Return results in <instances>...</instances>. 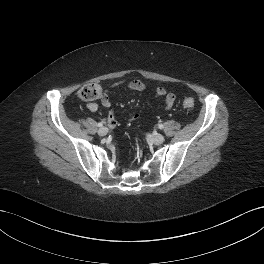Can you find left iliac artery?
I'll list each match as a JSON object with an SVG mask.
<instances>
[{"mask_svg": "<svg viewBox=\"0 0 264 264\" xmlns=\"http://www.w3.org/2000/svg\"><path fill=\"white\" fill-rule=\"evenodd\" d=\"M158 127H159L160 129H163V125H162V124H159Z\"/></svg>", "mask_w": 264, "mask_h": 264, "instance_id": "1", "label": "left iliac artery"}]
</instances>
